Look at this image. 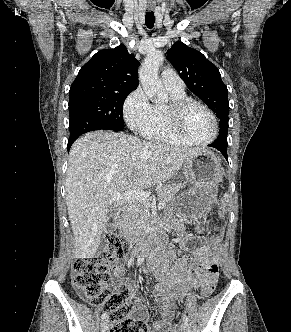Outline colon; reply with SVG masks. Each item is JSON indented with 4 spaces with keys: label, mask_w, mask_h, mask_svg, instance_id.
Listing matches in <instances>:
<instances>
[{
    "label": "colon",
    "mask_w": 291,
    "mask_h": 332,
    "mask_svg": "<svg viewBox=\"0 0 291 332\" xmlns=\"http://www.w3.org/2000/svg\"><path fill=\"white\" fill-rule=\"evenodd\" d=\"M106 247L94 257L75 262L71 282L77 293L92 304H103L109 313L110 332H146L145 327L130 318L132 303L128 300L130 288L126 285L117 291L110 289L109 266L123 259L129 250L126 239L116 233L105 238ZM216 275L201 290V297L208 298L215 290Z\"/></svg>",
    "instance_id": "obj_1"
}]
</instances>
